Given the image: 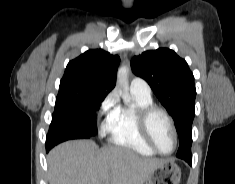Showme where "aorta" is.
I'll use <instances>...</instances> for the list:
<instances>
[{
	"instance_id": "762f6f07",
	"label": "aorta",
	"mask_w": 235,
	"mask_h": 184,
	"mask_svg": "<svg viewBox=\"0 0 235 184\" xmlns=\"http://www.w3.org/2000/svg\"><path fill=\"white\" fill-rule=\"evenodd\" d=\"M128 68L123 66V68H119L117 72V82L121 84V86H128ZM123 102H131L130 96H123Z\"/></svg>"
}]
</instances>
